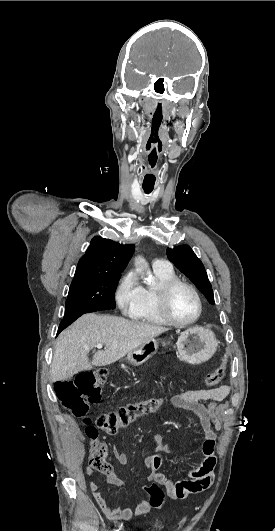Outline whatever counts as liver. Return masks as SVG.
Segmentation results:
<instances>
[{"instance_id":"obj_1","label":"liver","mask_w":275,"mask_h":531,"mask_svg":"<svg viewBox=\"0 0 275 531\" xmlns=\"http://www.w3.org/2000/svg\"><path fill=\"white\" fill-rule=\"evenodd\" d=\"M165 331L169 329L128 321L123 317L95 313L83 315L58 337L50 371L52 381H64L79 371H91L93 367L116 363L132 349ZM96 345H105V351H97L89 363L87 355Z\"/></svg>"}]
</instances>
